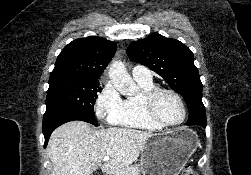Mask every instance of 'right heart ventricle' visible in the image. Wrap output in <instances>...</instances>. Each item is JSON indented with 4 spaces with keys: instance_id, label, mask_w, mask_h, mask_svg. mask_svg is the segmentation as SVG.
Here are the masks:
<instances>
[{
    "instance_id": "right-heart-ventricle-1",
    "label": "right heart ventricle",
    "mask_w": 251,
    "mask_h": 175,
    "mask_svg": "<svg viewBox=\"0 0 251 175\" xmlns=\"http://www.w3.org/2000/svg\"><path fill=\"white\" fill-rule=\"evenodd\" d=\"M140 88V96L137 98H128L124 101V107L121 116L119 117L117 124L129 127L137 128L145 131H160V128L152 120L148 118L141 106V95L142 92L149 91L154 88V84L137 82Z\"/></svg>"
}]
</instances>
